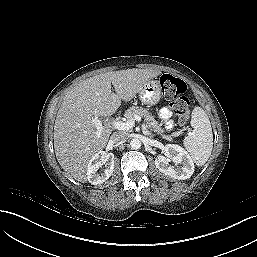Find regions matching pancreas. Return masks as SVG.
Instances as JSON below:
<instances>
[{
  "instance_id": "cf45deb5",
  "label": "pancreas",
  "mask_w": 257,
  "mask_h": 257,
  "mask_svg": "<svg viewBox=\"0 0 257 257\" xmlns=\"http://www.w3.org/2000/svg\"><path fill=\"white\" fill-rule=\"evenodd\" d=\"M135 115L143 117L147 127L151 131L155 132L156 134H160L164 139L170 140V137L164 134L165 130L161 128V125L154 119V116L149 113L147 109L132 106L125 112L124 116L127 118V120H130L134 118Z\"/></svg>"
}]
</instances>
